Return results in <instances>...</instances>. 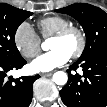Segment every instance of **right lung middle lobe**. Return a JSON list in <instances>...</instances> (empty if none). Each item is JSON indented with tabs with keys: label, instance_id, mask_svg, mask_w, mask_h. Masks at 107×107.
I'll list each match as a JSON object with an SVG mask.
<instances>
[{
	"label": "right lung middle lobe",
	"instance_id": "1",
	"mask_svg": "<svg viewBox=\"0 0 107 107\" xmlns=\"http://www.w3.org/2000/svg\"><path fill=\"white\" fill-rule=\"evenodd\" d=\"M31 15L32 12L0 4V60L10 62L22 58L15 45V33L18 26Z\"/></svg>",
	"mask_w": 107,
	"mask_h": 107
}]
</instances>
